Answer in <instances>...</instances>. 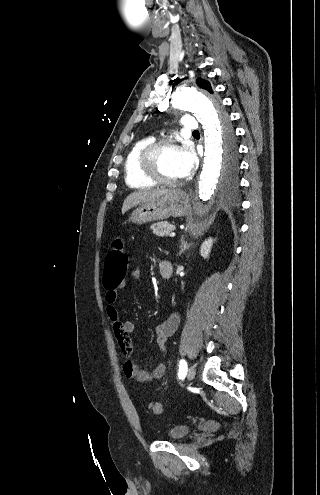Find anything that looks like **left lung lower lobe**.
Wrapping results in <instances>:
<instances>
[{
	"label": "left lung lower lobe",
	"mask_w": 320,
	"mask_h": 495,
	"mask_svg": "<svg viewBox=\"0 0 320 495\" xmlns=\"http://www.w3.org/2000/svg\"><path fill=\"white\" fill-rule=\"evenodd\" d=\"M225 115H226V114H225ZM225 123H226V124H227V125L231 128V130H232V127H231V125H230V121H229V116H228V115H226V118H225V121L223 122V124H225ZM232 132H233V130H232Z\"/></svg>",
	"instance_id": "left-lung-lower-lobe-1"
}]
</instances>
